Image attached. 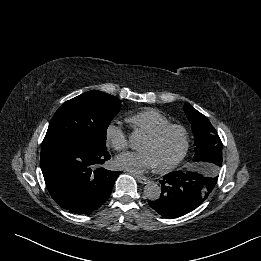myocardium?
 <instances>
[{
  "instance_id": "f54148a6",
  "label": "myocardium",
  "mask_w": 261,
  "mask_h": 261,
  "mask_svg": "<svg viewBox=\"0 0 261 261\" xmlns=\"http://www.w3.org/2000/svg\"><path fill=\"white\" fill-rule=\"evenodd\" d=\"M173 131H178L181 134L183 141L182 149L179 155L173 161L163 166H157V171L160 173L170 172L183 162L190 149V134L188 129L182 124H169L159 129L158 131L148 135V138L150 140L154 142H159Z\"/></svg>"
}]
</instances>
